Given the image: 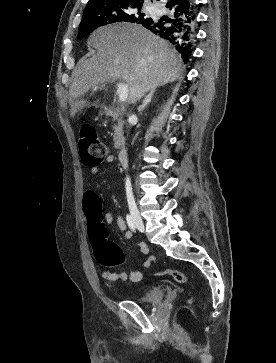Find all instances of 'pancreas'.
I'll return each instance as SVG.
<instances>
[{"label": "pancreas", "instance_id": "1", "mask_svg": "<svg viewBox=\"0 0 276 363\" xmlns=\"http://www.w3.org/2000/svg\"><path fill=\"white\" fill-rule=\"evenodd\" d=\"M114 147L121 148L124 144V136H123V121L119 119L117 123H114Z\"/></svg>", "mask_w": 276, "mask_h": 363}]
</instances>
